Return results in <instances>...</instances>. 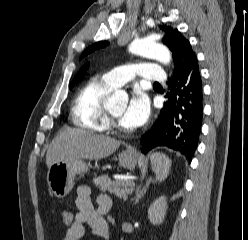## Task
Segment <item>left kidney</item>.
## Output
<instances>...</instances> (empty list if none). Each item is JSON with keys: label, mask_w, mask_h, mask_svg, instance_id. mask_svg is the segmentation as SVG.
Listing matches in <instances>:
<instances>
[{"label": "left kidney", "mask_w": 248, "mask_h": 240, "mask_svg": "<svg viewBox=\"0 0 248 240\" xmlns=\"http://www.w3.org/2000/svg\"><path fill=\"white\" fill-rule=\"evenodd\" d=\"M167 210V201L165 196L156 199L148 209V218L153 224L163 222Z\"/></svg>", "instance_id": "5707ae66"}]
</instances>
